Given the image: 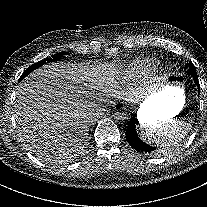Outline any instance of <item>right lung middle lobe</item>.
<instances>
[{"label": "right lung middle lobe", "mask_w": 207, "mask_h": 207, "mask_svg": "<svg viewBox=\"0 0 207 207\" xmlns=\"http://www.w3.org/2000/svg\"><path fill=\"white\" fill-rule=\"evenodd\" d=\"M65 54H67V52H59L57 54H55L53 56V58H49V59H44L42 61H39L33 65H31L30 67H28L25 72L21 75V77L19 78V82L21 80H23L28 74H30L32 71H34L35 69L41 67L42 65L46 64V63H50V62H55L60 60Z\"/></svg>", "instance_id": "obj_1"}]
</instances>
